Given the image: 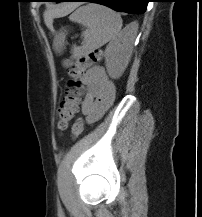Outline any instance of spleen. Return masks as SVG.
<instances>
[{"label":"spleen","mask_w":202,"mask_h":217,"mask_svg":"<svg viewBox=\"0 0 202 217\" xmlns=\"http://www.w3.org/2000/svg\"><path fill=\"white\" fill-rule=\"evenodd\" d=\"M69 19L86 27L82 34L85 43L82 47L73 48L74 56L101 47L118 35L122 28V18L119 13L94 3L78 8ZM130 31L134 37L137 33V25L135 24Z\"/></svg>","instance_id":"3e777b00"}]
</instances>
